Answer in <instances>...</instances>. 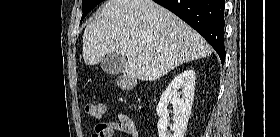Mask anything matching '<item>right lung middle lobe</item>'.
I'll use <instances>...</instances> for the list:
<instances>
[{"mask_svg": "<svg viewBox=\"0 0 280 137\" xmlns=\"http://www.w3.org/2000/svg\"><path fill=\"white\" fill-rule=\"evenodd\" d=\"M102 1L103 0H82L83 14L81 21L96 5H98Z\"/></svg>", "mask_w": 280, "mask_h": 137, "instance_id": "1", "label": "right lung middle lobe"}]
</instances>
